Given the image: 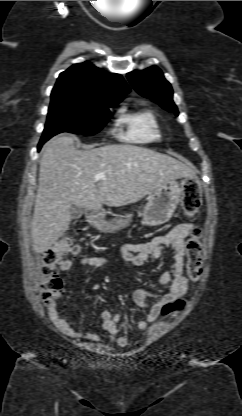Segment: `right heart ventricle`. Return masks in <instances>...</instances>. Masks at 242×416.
<instances>
[{"instance_id": "e07e8e85", "label": "right heart ventricle", "mask_w": 242, "mask_h": 416, "mask_svg": "<svg viewBox=\"0 0 242 416\" xmlns=\"http://www.w3.org/2000/svg\"><path fill=\"white\" fill-rule=\"evenodd\" d=\"M119 122L126 127L125 138L131 142L145 143L161 137L158 119L150 109L120 110Z\"/></svg>"}]
</instances>
